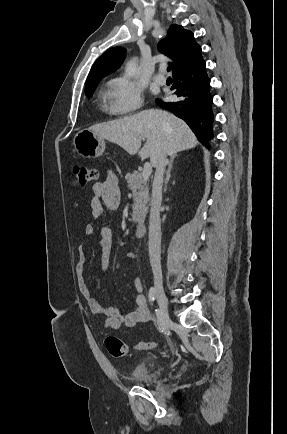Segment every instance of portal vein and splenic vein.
<instances>
[{"label":"portal vein and splenic vein","mask_w":287,"mask_h":434,"mask_svg":"<svg viewBox=\"0 0 287 434\" xmlns=\"http://www.w3.org/2000/svg\"><path fill=\"white\" fill-rule=\"evenodd\" d=\"M151 173H152V167H151V164L148 163V162H146V163L144 164V169H143V172H142V177H143V179H144V180H148L149 177H150V175H151Z\"/></svg>","instance_id":"18ae733b"}]
</instances>
